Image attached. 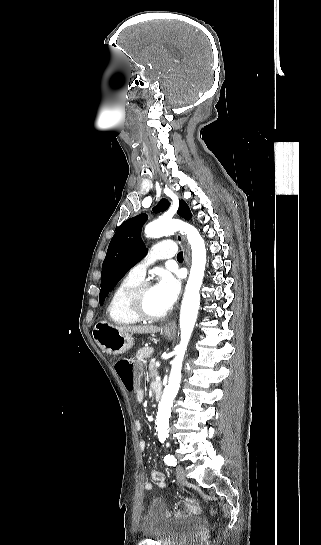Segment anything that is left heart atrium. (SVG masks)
<instances>
[{"label": "left heart atrium", "instance_id": "obj_1", "mask_svg": "<svg viewBox=\"0 0 321 545\" xmlns=\"http://www.w3.org/2000/svg\"><path fill=\"white\" fill-rule=\"evenodd\" d=\"M154 291L165 307L166 311H169L180 295L181 282L178 277L168 271L163 270L158 274Z\"/></svg>", "mask_w": 321, "mask_h": 545}]
</instances>
